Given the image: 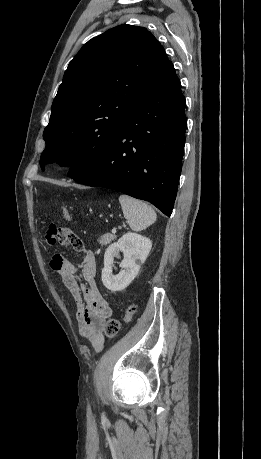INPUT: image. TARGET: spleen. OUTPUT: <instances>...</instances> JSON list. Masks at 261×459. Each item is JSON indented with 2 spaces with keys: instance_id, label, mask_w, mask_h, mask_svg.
I'll return each instance as SVG.
<instances>
[{
  "instance_id": "1",
  "label": "spleen",
  "mask_w": 261,
  "mask_h": 459,
  "mask_svg": "<svg viewBox=\"0 0 261 459\" xmlns=\"http://www.w3.org/2000/svg\"><path fill=\"white\" fill-rule=\"evenodd\" d=\"M119 202L121 204L124 217L133 231L138 232L144 230L153 224L157 219L155 211L145 202L125 194L120 195Z\"/></svg>"
}]
</instances>
